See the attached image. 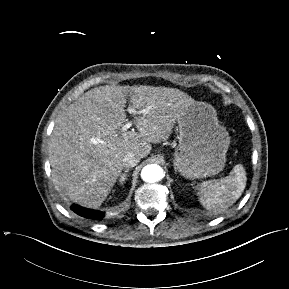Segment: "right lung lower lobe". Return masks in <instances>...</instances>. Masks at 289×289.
<instances>
[{"instance_id": "1", "label": "right lung lower lobe", "mask_w": 289, "mask_h": 289, "mask_svg": "<svg viewBox=\"0 0 289 289\" xmlns=\"http://www.w3.org/2000/svg\"><path fill=\"white\" fill-rule=\"evenodd\" d=\"M71 210L82 217L92 220H100L105 216L104 212L86 209L75 204L71 206Z\"/></svg>"}]
</instances>
